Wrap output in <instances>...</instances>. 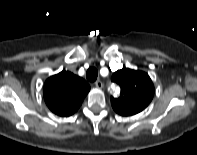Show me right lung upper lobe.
<instances>
[{"mask_svg": "<svg viewBox=\"0 0 197 155\" xmlns=\"http://www.w3.org/2000/svg\"><path fill=\"white\" fill-rule=\"evenodd\" d=\"M89 90L84 79L62 71L46 80L44 100L53 113L67 117L78 110Z\"/></svg>", "mask_w": 197, "mask_h": 155, "instance_id": "right-lung-upper-lobe-1", "label": "right lung upper lobe"}]
</instances>
